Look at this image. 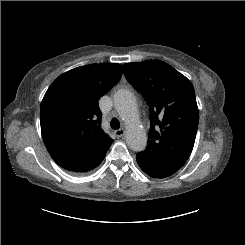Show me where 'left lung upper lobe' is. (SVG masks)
<instances>
[{"mask_svg":"<svg viewBox=\"0 0 245 245\" xmlns=\"http://www.w3.org/2000/svg\"><path fill=\"white\" fill-rule=\"evenodd\" d=\"M123 69L150 108L148 143L140 153L181 168L192 152L199 120L192 83L160 60L126 63Z\"/></svg>","mask_w":245,"mask_h":245,"instance_id":"1","label":"left lung upper lobe"}]
</instances>
